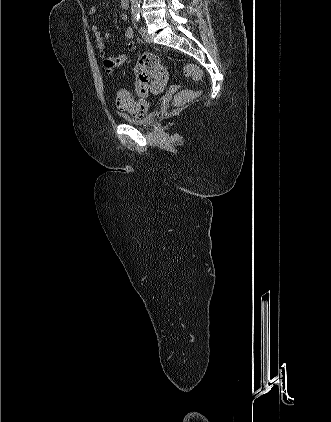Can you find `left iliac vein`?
Returning a JSON list of instances; mask_svg holds the SVG:
<instances>
[{
    "label": "left iliac vein",
    "mask_w": 331,
    "mask_h": 422,
    "mask_svg": "<svg viewBox=\"0 0 331 422\" xmlns=\"http://www.w3.org/2000/svg\"><path fill=\"white\" fill-rule=\"evenodd\" d=\"M141 36L146 43H151V39L148 35L147 29L145 26L141 27Z\"/></svg>",
    "instance_id": "obj_1"
}]
</instances>
